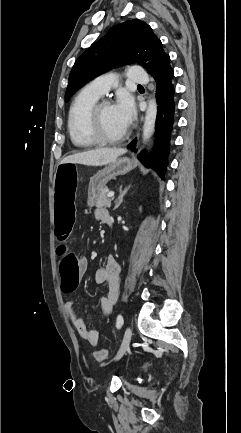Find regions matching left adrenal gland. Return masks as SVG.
<instances>
[{
    "instance_id": "1",
    "label": "left adrenal gland",
    "mask_w": 241,
    "mask_h": 433,
    "mask_svg": "<svg viewBox=\"0 0 241 433\" xmlns=\"http://www.w3.org/2000/svg\"><path fill=\"white\" fill-rule=\"evenodd\" d=\"M130 186L126 187L124 190L122 189V186H120V195L118 197V199L115 201V207L114 210H116L123 202V198L124 196L127 194L128 190H129Z\"/></svg>"
}]
</instances>
